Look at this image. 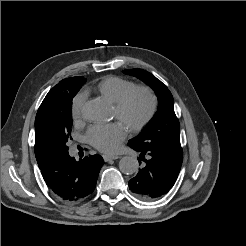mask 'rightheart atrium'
<instances>
[{
	"mask_svg": "<svg viewBox=\"0 0 246 246\" xmlns=\"http://www.w3.org/2000/svg\"><path fill=\"white\" fill-rule=\"evenodd\" d=\"M85 100L86 94L84 92H79L72 99L71 113L74 120L81 118Z\"/></svg>",
	"mask_w": 246,
	"mask_h": 246,
	"instance_id": "obj_1",
	"label": "right heart atrium"
}]
</instances>
